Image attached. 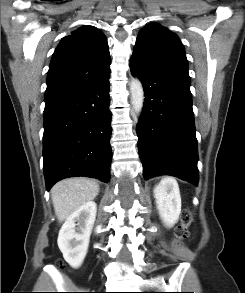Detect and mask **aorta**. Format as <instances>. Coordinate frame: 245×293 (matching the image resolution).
Returning a JSON list of instances; mask_svg holds the SVG:
<instances>
[{
  "instance_id": "1",
  "label": "aorta",
  "mask_w": 245,
  "mask_h": 293,
  "mask_svg": "<svg viewBox=\"0 0 245 293\" xmlns=\"http://www.w3.org/2000/svg\"><path fill=\"white\" fill-rule=\"evenodd\" d=\"M131 104L136 114H141L144 105V90L139 79L135 78L130 84Z\"/></svg>"
}]
</instances>
